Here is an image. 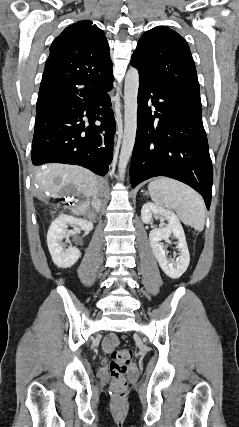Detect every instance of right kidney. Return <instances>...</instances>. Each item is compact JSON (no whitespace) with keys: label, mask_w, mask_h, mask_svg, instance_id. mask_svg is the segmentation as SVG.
Returning <instances> with one entry per match:
<instances>
[{"label":"right kidney","mask_w":239,"mask_h":427,"mask_svg":"<svg viewBox=\"0 0 239 427\" xmlns=\"http://www.w3.org/2000/svg\"><path fill=\"white\" fill-rule=\"evenodd\" d=\"M67 225L78 226L84 231L93 229V224L88 220L69 215H60L52 222L47 233V244L54 264L60 268L71 267L81 257V253L76 247L68 249L64 247L63 239H68L71 234L67 230Z\"/></svg>","instance_id":"ca27d5eb"}]
</instances>
